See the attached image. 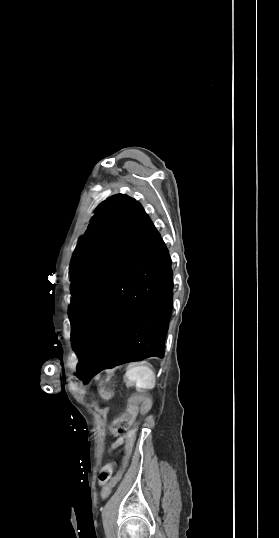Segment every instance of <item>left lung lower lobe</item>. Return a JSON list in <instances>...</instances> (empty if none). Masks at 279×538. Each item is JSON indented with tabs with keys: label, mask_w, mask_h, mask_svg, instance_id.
<instances>
[{
	"label": "left lung lower lobe",
	"mask_w": 279,
	"mask_h": 538,
	"mask_svg": "<svg viewBox=\"0 0 279 538\" xmlns=\"http://www.w3.org/2000/svg\"><path fill=\"white\" fill-rule=\"evenodd\" d=\"M171 259L153 227L72 329L77 376L88 381L132 357H164L172 312Z\"/></svg>",
	"instance_id": "1"
}]
</instances>
